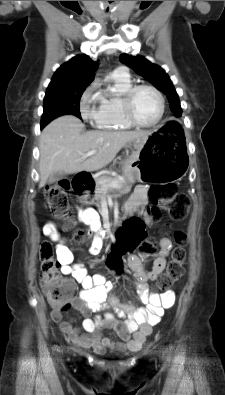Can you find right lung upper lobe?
Segmentation results:
<instances>
[{
    "instance_id": "right-lung-upper-lobe-1",
    "label": "right lung upper lobe",
    "mask_w": 225,
    "mask_h": 395,
    "mask_svg": "<svg viewBox=\"0 0 225 395\" xmlns=\"http://www.w3.org/2000/svg\"><path fill=\"white\" fill-rule=\"evenodd\" d=\"M97 66L98 61L87 55H77L56 70L49 87L88 86L94 80Z\"/></svg>"
}]
</instances>
